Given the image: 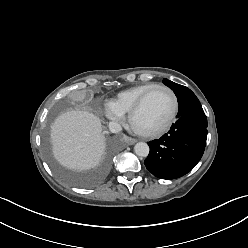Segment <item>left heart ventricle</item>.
Masks as SVG:
<instances>
[{"label": "left heart ventricle", "mask_w": 248, "mask_h": 248, "mask_svg": "<svg viewBox=\"0 0 248 248\" xmlns=\"http://www.w3.org/2000/svg\"><path fill=\"white\" fill-rule=\"evenodd\" d=\"M173 102L170 94L157 89L146 99L134 118V126L140 131L151 132L160 128L170 117Z\"/></svg>", "instance_id": "left-heart-ventricle-1"}]
</instances>
